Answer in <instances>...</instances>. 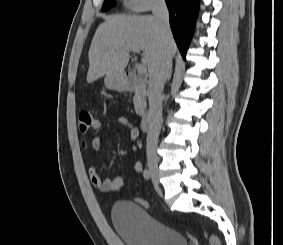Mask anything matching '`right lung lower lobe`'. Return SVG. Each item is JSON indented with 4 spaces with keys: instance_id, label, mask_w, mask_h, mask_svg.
I'll return each mask as SVG.
<instances>
[{
    "instance_id": "right-lung-lower-lobe-1",
    "label": "right lung lower lobe",
    "mask_w": 283,
    "mask_h": 245,
    "mask_svg": "<svg viewBox=\"0 0 283 245\" xmlns=\"http://www.w3.org/2000/svg\"><path fill=\"white\" fill-rule=\"evenodd\" d=\"M170 26L177 46L185 59L199 9V0H165Z\"/></svg>"
}]
</instances>
